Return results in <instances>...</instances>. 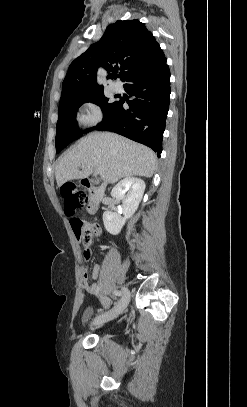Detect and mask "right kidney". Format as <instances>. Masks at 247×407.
I'll return each mask as SVG.
<instances>
[{"instance_id":"1","label":"right kidney","mask_w":247,"mask_h":407,"mask_svg":"<svg viewBox=\"0 0 247 407\" xmlns=\"http://www.w3.org/2000/svg\"><path fill=\"white\" fill-rule=\"evenodd\" d=\"M145 187V182L142 179L128 177L121 180L112 189L111 196L116 200L122 201L123 216L111 211H105L103 213L104 227L110 234H119L126 220L132 217L138 209Z\"/></svg>"}]
</instances>
